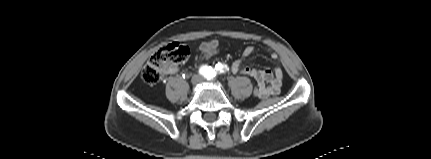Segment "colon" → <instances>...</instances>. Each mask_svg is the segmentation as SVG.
I'll list each match as a JSON object with an SVG mask.
<instances>
[{"instance_id": "colon-1", "label": "colon", "mask_w": 431, "mask_h": 159, "mask_svg": "<svg viewBox=\"0 0 431 159\" xmlns=\"http://www.w3.org/2000/svg\"><path fill=\"white\" fill-rule=\"evenodd\" d=\"M199 52H202V49H199ZM204 53H206L207 56H221L222 50L209 48L204 50ZM189 54V48L179 43H172L160 48L150 57L148 63L144 67L141 73L143 81L150 85L158 83L165 72L171 67L185 62ZM259 93V87H251V95L253 98H258Z\"/></svg>"}]
</instances>
